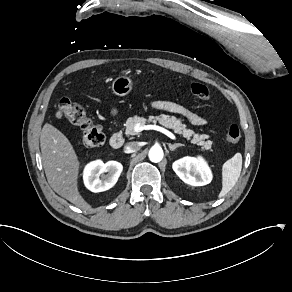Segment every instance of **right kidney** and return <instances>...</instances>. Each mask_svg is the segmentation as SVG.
<instances>
[{"label": "right kidney", "mask_w": 292, "mask_h": 292, "mask_svg": "<svg viewBox=\"0 0 292 292\" xmlns=\"http://www.w3.org/2000/svg\"><path fill=\"white\" fill-rule=\"evenodd\" d=\"M122 170V164L117 161L107 163L101 160L92 161L84 168V184L87 189L95 193L106 191L116 184ZM105 172L108 174H103Z\"/></svg>", "instance_id": "ca27d5eb"}]
</instances>
